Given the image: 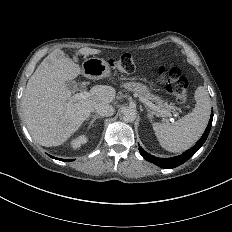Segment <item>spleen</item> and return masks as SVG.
<instances>
[{"label": "spleen", "mask_w": 232, "mask_h": 232, "mask_svg": "<svg viewBox=\"0 0 232 232\" xmlns=\"http://www.w3.org/2000/svg\"><path fill=\"white\" fill-rule=\"evenodd\" d=\"M196 105L191 113L170 123H153L160 145L169 152L179 153L191 148L203 134L211 113L207 90L199 86L195 91Z\"/></svg>", "instance_id": "obj_1"}]
</instances>
